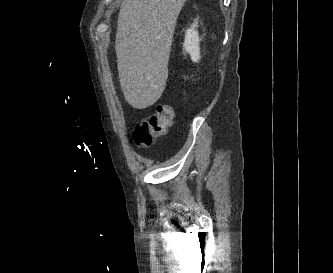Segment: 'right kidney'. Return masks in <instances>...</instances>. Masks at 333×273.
<instances>
[{"label": "right kidney", "mask_w": 333, "mask_h": 273, "mask_svg": "<svg viewBox=\"0 0 333 273\" xmlns=\"http://www.w3.org/2000/svg\"><path fill=\"white\" fill-rule=\"evenodd\" d=\"M194 24L190 29H187L185 34L184 49L190 54L191 59L197 62L200 59L199 36Z\"/></svg>", "instance_id": "obj_1"}]
</instances>
